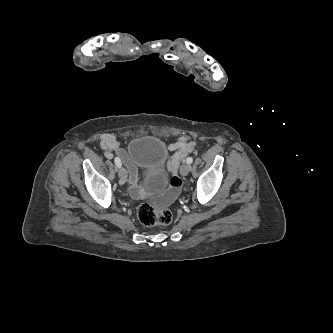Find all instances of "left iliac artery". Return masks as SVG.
Returning a JSON list of instances; mask_svg holds the SVG:
<instances>
[{
    "mask_svg": "<svg viewBox=\"0 0 333 333\" xmlns=\"http://www.w3.org/2000/svg\"><path fill=\"white\" fill-rule=\"evenodd\" d=\"M193 162V158L192 157H188L187 159H186V163L187 164H191Z\"/></svg>",
    "mask_w": 333,
    "mask_h": 333,
    "instance_id": "1",
    "label": "left iliac artery"
}]
</instances>
